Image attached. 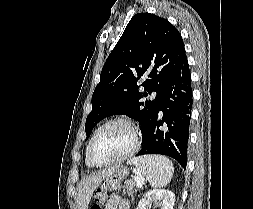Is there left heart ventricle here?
Segmentation results:
<instances>
[{
    "label": "left heart ventricle",
    "mask_w": 253,
    "mask_h": 209,
    "mask_svg": "<svg viewBox=\"0 0 253 209\" xmlns=\"http://www.w3.org/2000/svg\"><path fill=\"white\" fill-rule=\"evenodd\" d=\"M132 145L131 130L124 124L114 123L105 127L95 139L93 158L102 163L113 160Z\"/></svg>",
    "instance_id": "left-heart-ventricle-1"
}]
</instances>
